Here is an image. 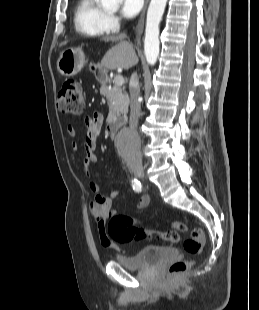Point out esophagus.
<instances>
[{
  "mask_svg": "<svg viewBox=\"0 0 259 310\" xmlns=\"http://www.w3.org/2000/svg\"><path fill=\"white\" fill-rule=\"evenodd\" d=\"M149 0H145V4L141 13V16L137 22V25L135 27V34H136V38L140 39L142 33H143V28H144V18H145V13H146V9L148 6Z\"/></svg>",
  "mask_w": 259,
  "mask_h": 310,
  "instance_id": "1",
  "label": "esophagus"
}]
</instances>
